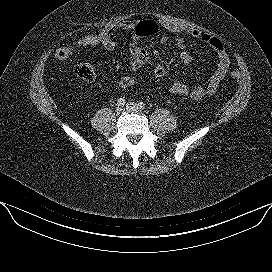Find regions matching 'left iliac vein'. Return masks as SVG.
I'll use <instances>...</instances> for the list:
<instances>
[{
    "instance_id": "4c4485c4",
    "label": "left iliac vein",
    "mask_w": 272,
    "mask_h": 272,
    "mask_svg": "<svg viewBox=\"0 0 272 272\" xmlns=\"http://www.w3.org/2000/svg\"><path fill=\"white\" fill-rule=\"evenodd\" d=\"M126 110L133 111V112H139L140 107H139L138 104H136L134 102H129V103L126 104Z\"/></svg>"
}]
</instances>
